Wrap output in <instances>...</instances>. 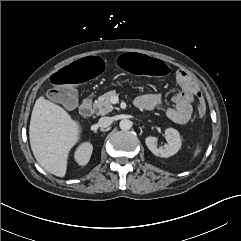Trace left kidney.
<instances>
[{
    "instance_id": "1",
    "label": "left kidney",
    "mask_w": 241,
    "mask_h": 241,
    "mask_svg": "<svg viewBox=\"0 0 241 241\" xmlns=\"http://www.w3.org/2000/svg\"><path fill=\"white\" fill-rule=\"evenodd\" d=\"M167 145L163 148H158L156 144V137L148 136L145 139L146 146L155 155L159 157H171L175 155L181 148L180 134L176 129L167 128L165 130Z\"/></svg>"
}]
</instances>
